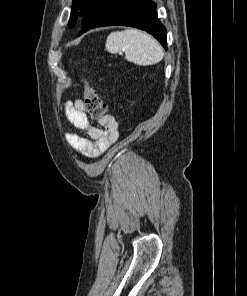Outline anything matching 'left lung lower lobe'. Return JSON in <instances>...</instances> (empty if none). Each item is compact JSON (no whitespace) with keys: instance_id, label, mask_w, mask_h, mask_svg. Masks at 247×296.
<instances>
[{"instance_id":"0a47b994","label":"left lung lower lobe","mask_w":247,"mask_h":296,"mask_svg":"<svg viewBox=\"0 0 247 296\" xmlns=\"http://www.w3.org/2000/svg\"><path fill=\"white\" fill-rule=\"evenodd\" d=\"M123 25L145 30L167 49L166 28L150 0H99L83 17L79 36L101 26Z\"/></svg>"}]
</instances>
